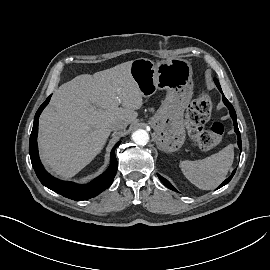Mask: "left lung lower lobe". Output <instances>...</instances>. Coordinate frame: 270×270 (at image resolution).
<instances>
[{
  "instance_id": "obj_1",
  "label": "left lung lower lobe",
  "mask_w": 270,
  "mask_h": 270,
  "mask_svg": "<svg viewBox=\"0 0 270 270\" xmlns=\"http://www.w3.org/2000/svg\"><path fill=\"white\" fill-rule=\"evenodd\" d=\"M219 90L223 94L222 90L221 89H219ZM223 102L228 107V109L230 111V115H231V117L233 119V123H234V130L238 136V147L241 149V136H240V132L238 129L237 117H236L235 110H234L232 104L225 98L224 95H223ZM235 171H236V169L232 172L231 176L229 178H227L219 187L226 185L232 179L233 175L235 174ZM158 177L165 186H167L171 190H175V188L166 179H164L159 174H158Z\"/></svg>"
}]
</instances>
